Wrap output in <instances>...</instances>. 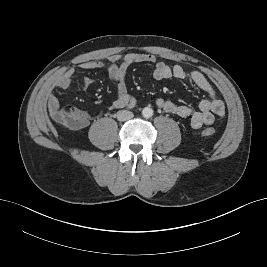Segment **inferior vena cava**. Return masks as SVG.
I'll return each instance as SVG.
<instances>
[{
    "mask_svg": "<svg viewBox=\"0 0 267 267\" xmlns=\"http://www.w3.org/2000/svg\"><path fill=\"white\" fill-rule=\"evenodd\" d=\"M133 113L128 110H120L117 112V119L119 121H128L133 118Z\"/></svg>",
    "mask_w": 267,
    "mask_h": 267,
    "instance_id": "inferior-vena-cava-1",
    "label": "inferior vena cava"
}]
</instances>
